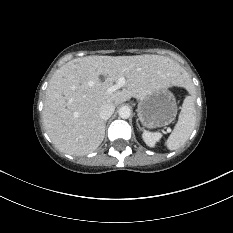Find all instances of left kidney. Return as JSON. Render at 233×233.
<instances>
[{
    "label": "left kidney",
    "instance_id": "left-kidney-1",
    "mask_svg": "<svg viewBox=\"0 0 233 233\" xmlns=\"http://www.w3.org/2000/svg\"><path fill=\"white\" fill-rule=\"evenodd\" d=\"M161 137H162L161 133H157V132L144 131L142 134V138L144 142L149 147H154L156 142H158Z\"/></svg>",
    "mask_w": 233,
    "mask_h": 233
}]
</instances>
